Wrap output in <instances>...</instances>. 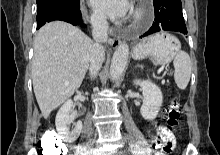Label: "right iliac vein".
<instances>
[{"instance_id": "63e3f726", "label": "right iliac vein", "mask_w": 220, "mask_h": 155, "mask_svg": "<svg viewBox=\"0 0 220 155\" xmlns=\"http://www.w3.org/2000/svg\"><path fill=\"white\" fill-rule=\"evenodd\" d=\"M93 155H101V154H99V153H97V152H94Z\"/></svg>"}]
</instances>
